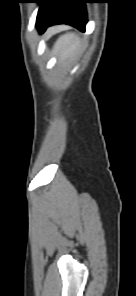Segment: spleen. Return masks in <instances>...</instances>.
I'll return each instance as SVG.
<instances>
[{
    "label": "spleen",
    "mask_w": 136,
    "mask_h": 296,
    "mask_svg": "<svg viewBox=\"0 0 136 296\" xmlns=\"http://www.w3.org/2000/svg\"><path fill=\"white\" fill-rule=\"evenodd\" d=\"M80 46V40L74 33H67L58 40V50L61 51V56L64 58L74 55Z\"/></svg>",
    "instance_id": "obj_1"
}]
</instances>
